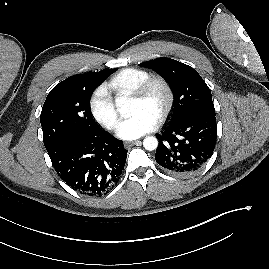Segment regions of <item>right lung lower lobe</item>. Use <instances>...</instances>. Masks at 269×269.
<instances>
[{"mask_svg":"<svg viewBox=\"0 0 269 269\" xmlns=\"http://www.w3.org/2000/svg\"><path fill=\"white\" fill-rule=\"evenodd\" d=\"M46 150L55 171L66 184L96 197L116 186L128 152L121 140L102 129L64 136Z\"/></svg>","mask_w":269,"mask_h":269,"instance_id":"1","label":"right lung lower lobe"}]
</instances>
